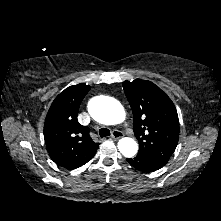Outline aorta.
Returning <instances> with one entry per match:
<instances>
[{
	"label": "aorta",
	"instance_id": "aorta-1",
	"mask_svg": "<svg viewBox=\"0 0 221 221\" xmlns=\"http://www.w3.org/2000/svg\"><path fill=\"white\" fill-rule=\"evenodd\" d=\"M88 112L99 123L115 125L125 119V111L122 105L115 99L106 96H97L90 100ZM120 153L128 158L136 155L138 144L132 138L125 137L119 140Z\"/></svg>",
	"mask_w": 221,
	"mask_h": 221
}]
</instances>
